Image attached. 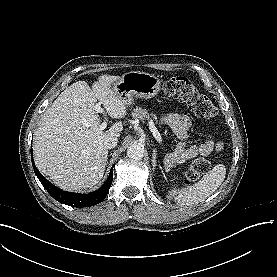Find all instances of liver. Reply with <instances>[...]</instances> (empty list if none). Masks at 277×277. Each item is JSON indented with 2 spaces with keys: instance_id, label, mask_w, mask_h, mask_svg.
<instances>
[{
  "instance_id": "1",
  "label": "liver",
  "mask_w": 277,
  "mask_h": 277,
  "mask_svg": "<svg viewBox=\"0 0 277 277\" xmlns=\"http://www.w3.org/2000/svg\"><path fill=\"white\" fill-rule=\"evenodd\" d=\"M119 79L102 75L92 88L86 81H77L41 117L34 134V160L38 170L58 187L80 192L92 189L103 178L108 158L104 142L108 137H119L123 123L99 130L95 107L103 105L115 119L126 116V105L111 88Z\"/></svg>"
}]
</instances>
